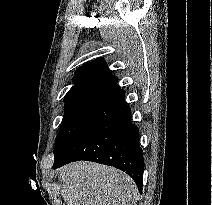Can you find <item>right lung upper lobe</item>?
Listing matches in <instances>:
<instances>
[{"label": "right lung upper lobe", "mask_w": 212, "mask_h": 205, "mask_svg": "<svg viewBox=\"0 0 212 205\" xmlns=\"http://www.w3.org/2000/svg\"><path fill=\"white\" fill-rule=\"evenodd\" d=\"M75 84L65 95L64 102L102 96L118 80L107 68L106 62L99 58L77 69L73 78Z\"/></svg>", "instance_id": "cb5924a9"}]
</instances>
